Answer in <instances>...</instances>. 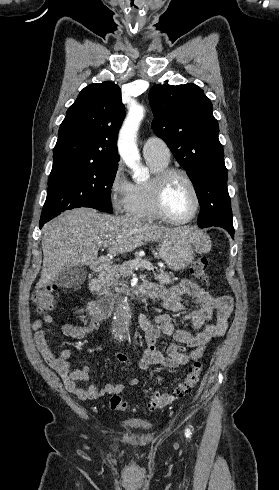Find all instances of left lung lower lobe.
<instances>
[{
    "label": "left lung lower lobe",
    "mask_w": 279,
    "mask_h": 490,
    "mask_svg": "<svg viewBox=\"0 0 279 490\" xmlns=\"http://www.w3.org/2000/svg\"><path fill=\"white\" fill-rule=\"evenodd\" d=\"M225 229H226V230L229 232V234H230V235L232 236V238H233V237H234V228H233V226H232V227H227V228H225Z\"/></svg>",
    "instance_id": "left-lung-lower-lobe-1"
}]
</instances>
